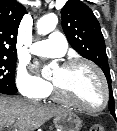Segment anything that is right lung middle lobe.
I'll use <instances>...</instances> for the list:
<instances>
[{"instance_id":"dd1d6c3e","label":"right lung middle lobe","mask_w":117,"mask_h":131,"mask_svg":"<svg viewBox=\"0 0 117 131\" xmlns=\"http://www.w3.org/2000/svg\"><path fill=\"white\" fill-rule=\"evenodd\" d=\"M16 68V54L0 53V90L7 94H15L14 74Z\"/></svg>"}]
</instances>
